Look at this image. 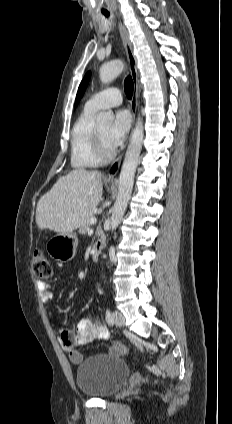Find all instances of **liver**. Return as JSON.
Returning <instances> with one entry per match:
<instances>
[{
  "mask_svg": "<svg viewBox=\"0 0 232 424\" xmlns=\"http://www.w3.org/2000/svg\"><path fill=\"white\" fill-rule=\"evenodd\" d=\"M102 174L75 169L60 177L43 195L36 208L40 229L60 234L72 233L93 214L102 197Z\"/></svg>",
  "mask_w": 232,
  "mask_h": 424,
  "instance_id": "liver-1",
  "label": "liver"
}]
</instances>
